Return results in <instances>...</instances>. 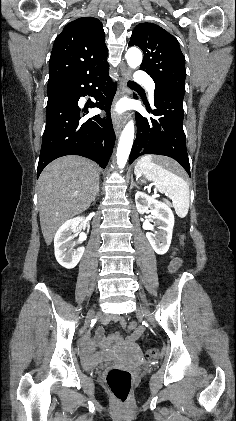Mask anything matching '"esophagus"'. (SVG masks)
I'll return each mask as SVG.
<instances>
[{
  "mask_svg": "<svg viewBox=\"0 0 236 421\" xmlns=\"http://www.w3.org/2000/svg\"><path fill=\"white\" fill-rule=\"evenodd\" d=\"M129 78H130L129 70H126L124 73H122L121 78L119 80V89L116 93L114 102H116L121 96L125 94H129L131 92L130 89L126 85V82ZM125 119H126L125 115L123 116L113 115L112 117L113 127L117 136L119 135L121 128L123 127L125 123Z\"/></svg>",
  "mask_w": 236,
  "mask_h": 421,
  "instance_id": "esophagus-1",
  "label": "esophagus"
}]
</instances>
